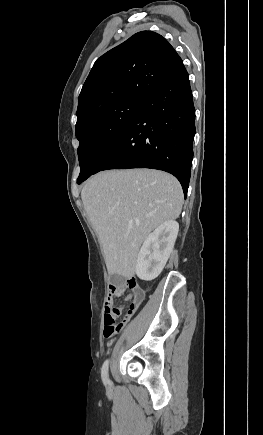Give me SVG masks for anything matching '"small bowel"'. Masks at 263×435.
Listing matches in <instances>:
<instances>
[{
	"instance_id": "c3829d8e",
	"label": "small bowel",
	"mask_w": 263,
	"mask_h": 435,
	"mask_svg": "<svg viewBox=\"0 0 263 435\" xmlns=\"http://www.w3.org/2000/svg\"><path fill=\"white\" fill-rule=\"evenodd\" d=\"M113 304H114V297L111 294V295H109V297L107 298V300L105 302V313L108 312L111 308H113ZM128 320H129V318L125 317L124 321L122 322L123 326L126 324V322Z\"/></svg>"
}]
</instances>
